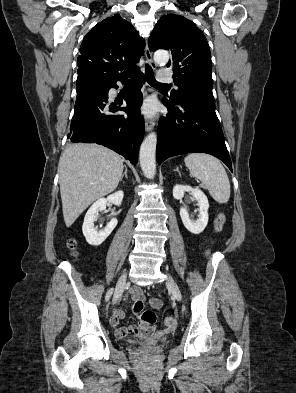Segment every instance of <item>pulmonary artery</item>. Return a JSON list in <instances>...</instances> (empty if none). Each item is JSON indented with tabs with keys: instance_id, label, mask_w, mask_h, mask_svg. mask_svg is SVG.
Here are the masks:
<instances>
[{
	"instance_id": "e3ab8cb5",
	"label": "pulmonary artery",
	"mask_w": 296,
	"mask_h": 393,
	"mask_svg": "<svg viewBox=\"0 0 296 393\" xmlns=\"http://www.w3.org/2000/svg\"><path fill=\"white\" fill-rule=\"evenodd\" d=\"M158 81L160 82V83H171L172 82V76L169 74V73H167L166 71H161L160 73H159V76H158Z\"/></svg>"
}]
</instances>
